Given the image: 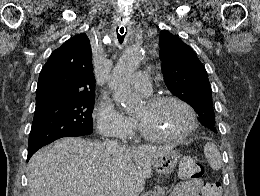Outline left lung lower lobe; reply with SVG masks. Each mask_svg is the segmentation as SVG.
I'll use <instances>...</instances> for the list:
<instances>
[{"mask_svg": "<svg viewBox=\"0 0 260 196\" xmlns=\"http://www.w3.org/2000/svg\"><path fill=\"white\" fill-rule=\"evenodd\" d=\"M198 115H199V120L201 121V123L204 126H207L208 123H211V122H213L215 120V116H213V115H206L203 112H199Z\"/></svg>", "mask_w": 260, "mask_h": 196, "instance_id": "0a47b994", "label": "left lung lower lobe"}]
</instances>
